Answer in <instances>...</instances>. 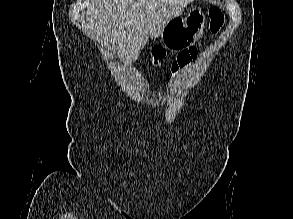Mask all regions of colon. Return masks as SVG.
<instances>
[{
  "label": "colon",
  "instance_id": "obj_1",
  "mask_svg": "<svg viewBox=\"0 0 293 219\" xmlns=\"http://www.w3.org/2000/svg\"><path fill=\"white\" fill-rule=\"evenodd\" d=\"M209 18H210V29L212 33H217L223 23V13L217 7H212L209 9ZM164 50L161 48L153 49V57L155 61H159L164 57ZM198 56L197 50L195 48H189L181 51L172 64L173 72H177L179 69L187 67L193 60Z\"/></svg>",
  "mask_w": 293,
  "mask_h": 219
}]
</instances>
